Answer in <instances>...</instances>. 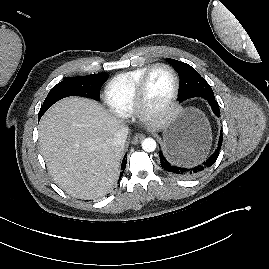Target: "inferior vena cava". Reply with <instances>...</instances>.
Wrapping results in <instances>:
<instances>
[{"mask_svg": "<svg viewBox=\"0 0 269 269\" xmlns=\"http://www.w3.org/2000/svg\"><path fill=\"white\" fill-rule=\"evenodd\" d=\"M128 136V129L127 128H121L116 133L115 137L112 140V144L116 147H124L126 143V139Z\"/></svg>", "mask_w": 269, "mask_h": 269, "instance_id": "obj_1", "label": "inferior vena cava"}]
</instances>
